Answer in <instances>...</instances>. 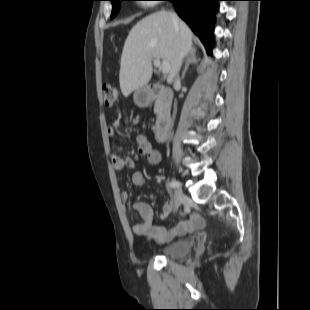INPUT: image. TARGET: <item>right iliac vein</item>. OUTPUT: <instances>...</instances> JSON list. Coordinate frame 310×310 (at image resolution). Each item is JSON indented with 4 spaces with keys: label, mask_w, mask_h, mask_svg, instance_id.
I'll return each mask as SVG.
<instances>
[{
    "label": "right iliac vein",
    "mask_w": 310,
    "mask_h": 310,
    "mask_svg": "<svg viewBox=\"0 0 310 310\" xmlns=\"http://www.w3.org/2000/svg\"><path fill=\"white\" fill-rule=\"evenodd\" d=\"M174 199H175V211H177L180 205L185 201V195L182 192L180 184L175 189Z\"/></svg>",
    "instance_id": "obj_1"
}]
</instances>
